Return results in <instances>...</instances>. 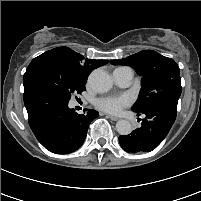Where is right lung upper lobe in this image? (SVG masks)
Returning <instances> with one entry per match:
<instances>
[{
    "label": "right lung upper lobe",
    "instance_id": "cb5924a9",
    "mask_svg": "<svg viewBox=\"0 0 201 201\" xmlns=\"http://www.w3.org/2000/svg\"><path fill=\"white\" fill-rule=\"evenodd\" d=\"M55 58L61 61L66 69L77 79L86 82L90 72L102 65L108 63L106 60H89L84 59V57L73 51L68 47H58L51 49L38 57L34 58L29 64L28 68L31 67L36 62L47 59Z\"/></svg>",
    "mask_w": 201,
    "mask_h": 201
}]
</instances>
